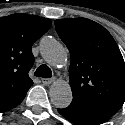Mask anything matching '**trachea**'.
<instances>
[{"instance_id": "1", "label": "trachea", "mask_w": 125, "mask_h": 125, "mask_svg": "<svg viewBox=\"0 0 125 125\" xmlns=\"http://www.w3.org/2000/svg\"><path fill=\"white\" fill-rule=\"evenodd\" d=\"M34 75L36 77L51 78L52 71L47 65H41L40 67L37 68Z\"/></svg>"}]
</instances>
